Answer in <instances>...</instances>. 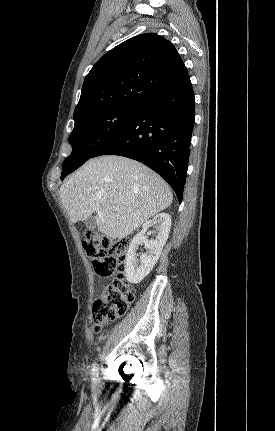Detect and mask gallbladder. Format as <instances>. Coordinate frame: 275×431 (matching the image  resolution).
I'll return each mask as SVG.
<instances>
[{"mask_svg":"<svg viewBox=\"0 0 275 431\" xmlns=\"http://www.w3.org/2000/svg\"><path fill=\"white\" fill-rule=\"evenodd\" d=\"M86 228L89 230H94L96 226V220L94 216H90L85 220Z\"/></svg>","mask_w":275,"mask_h":431,"instance_id":"bac80fb5","label":"gallbladder"}]
</instances>
